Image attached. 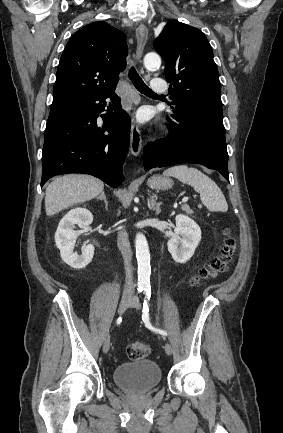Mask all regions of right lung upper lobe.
Here are the masks:
<instances>
[{
  "instance_id": "right-lung-upper-lobe-1",
  "label": "right lung upper lobe",
  "mask_w": 283,
  "mask_h": 433,
  "mask_svg": "<svg viewBox=\"0 0 283 433\" xmlns=\"http://www.w3.org/2000/svg\"><path fill=\"white\" fill-rule=\"evenodd\" d=\"M127 55L126 35L107 22L78 30L61 56L51 109L115 90Z\"/></svg>"
}]
</instances>
